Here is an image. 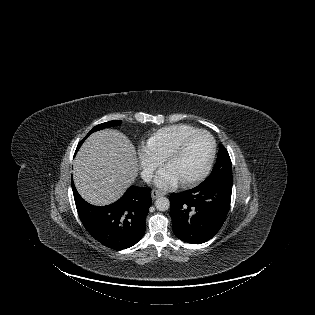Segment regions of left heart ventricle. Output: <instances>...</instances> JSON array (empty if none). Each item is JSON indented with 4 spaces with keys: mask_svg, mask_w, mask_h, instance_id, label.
I'll return each instance as SVG.
<instances>
[{
    "mask_svg": "<svg viewBox=\"0 0 315 315\" xmlns=\"http://www.w3.org/2000/svg\"><path fill=\"white\" fill-rule=\"evenodd\" d=\"M210 150L209 137L198 134L189 140L181 154L169 163L167 169L173 172L180 181L192 178L205 167Z\"/></svg>",
    "mask_w": 315,
    "mask_h": 315,
    "instance_id": "left-heart-ventricle-1",
    "label": "left heart ventricle"
}]
</instances>
